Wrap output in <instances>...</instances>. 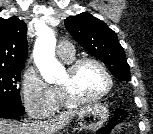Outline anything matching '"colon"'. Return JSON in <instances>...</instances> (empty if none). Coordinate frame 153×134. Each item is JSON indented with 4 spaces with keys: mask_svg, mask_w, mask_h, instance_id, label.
Segmentation results:
<instances>
[{
    "mask_svg": "<svg viewBox=\"0 0 153 134\" xmlns=\"http://www.w3.org/2000/svg\"><path fill=\"white\" fill-rule=\"evenodd\" d=\"M97 134H134L132 126L127 121V111L116 109L109 122L99 129Z\"/></svg>",
    "mask_w": 153,
    "mask_h": 134,
    "instance_id": "5ec220e1",
    "label": "colon"
}]
</instances>
